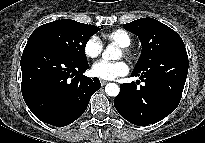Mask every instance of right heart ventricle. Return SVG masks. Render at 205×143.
I'll list each match as a JSON object with an SVG mask.
<instances>
[{"mask_svg": "<svg viewBox=\"0 0 205 143\" xmlns=\"http://www.w3.org/2000/svg\"><path fill=\"white\" fill-rule=\"evenodd\" d=\"M103 38L105 41L114 43L120 47H129L132 44L131 35L123 29L107 32L103 34Z\"/></svg>", "mask_w": 205, "mask_h": 143, "instance_id": "right-heart-ventricle-1", "label": "right heart ventricle"}]
</instances>
